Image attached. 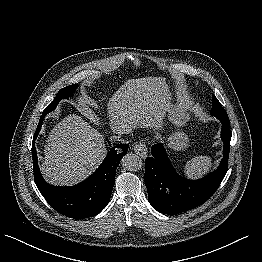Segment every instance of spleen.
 Here are the masks:
<instances>
[{
    "label": "spleen",
    "mask_w": 262,
    "mask_h": 262,
    "mask_svg": "<svg viewBox=\"0 0 262 262\" xmlns=\"http://www.w3.org/2000/svg\"><path fill=\"white\" fill-rule=\"evenodd\" d=\"M212 166L211 158L208 156H197L185 164V174L192 177H200Z\"/></svg>",
    "instance_id": "3e777b00"
}]
</instances>
